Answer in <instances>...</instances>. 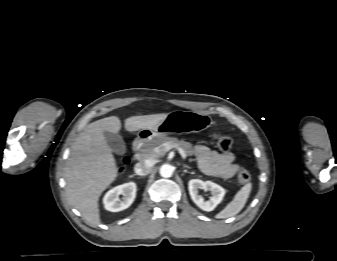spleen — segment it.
<instances>
[{"label":"spleen","instance_id":"1","mask_svg":"<svg viewBox=\"0 0 337 261\" xmlns=\"http://www.w3.org/2000/svg\"><path fill=\"white\" fill-rule=\"evenodd\" d=\"M251 189H252L251 183H247L246 185H244L236 193L233 200L222 211H220L216 215V218H219V219L228 218V217H232L238 214L245 206L249 198Z\"/></svg>","mask_w":337,"mask_h":261}]
</instances>
